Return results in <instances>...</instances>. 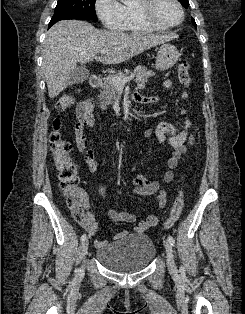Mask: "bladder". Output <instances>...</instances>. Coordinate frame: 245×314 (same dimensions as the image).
Masks as SVG:
<instances>
[{"label": "bladder", "mask_w": 245, "mask_h": 314, "mask_svg": "<svg viewBox=\"0 0 245 314\" xmlns=\"http://www.w3.org/2000/svg\"><path fill=\"white\" fill-rule=\"evenodd\" d=\"M156 248L147 235L135 234L109 243L96 251L98 262L108 269L130 273L146 268L155 258Z\"/></svg>", "instance_id": "31cf9c89"}]
</instances>
